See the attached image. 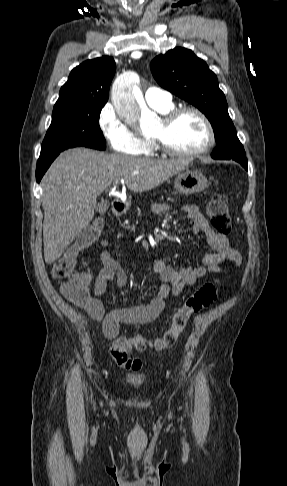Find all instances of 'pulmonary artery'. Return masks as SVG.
Wrapping results in <instances>:
<instances>
[{
  "label": "pulmonary artery",
  "mask_w": 287,
  "mask_h": 486,
  "mask_svg": "<svg viewBox=\"0 0 287 486\" xmlns=\"http://www.w3.org/2000/svg\"><path fill=\"white\" fill-rule=\"evenodd\" d=\"M145 100L153 108H164L172 104L171 94L157 87H149L146 90Z\"/></svg>",
  "instance_id": "1"
}]
</instances>
